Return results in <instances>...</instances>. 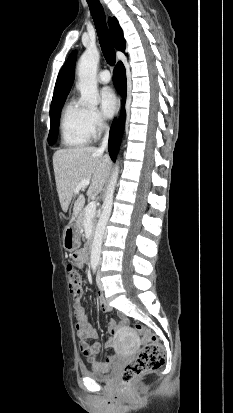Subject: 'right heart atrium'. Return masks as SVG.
Returning a JSON list of instances; mask_svg holds the SVG:
<instances>
[{"label":"right heart atrium","instance_id":"d8ad5b80","mask_svg":"<svg viewBox=\"0 0 233 413\" xmlns=\"http://www.w3.org/2000/svg\"><path fill=\"white\" fill-rule=\"evenodd\" d=\"M88 123L93 134H98L105 128L102 116L93 108L88 109Z\"/></svg>","mask_w":233,"mask_h":413}]
</instances>
